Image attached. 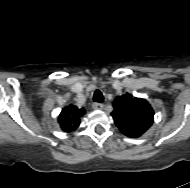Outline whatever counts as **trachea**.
<instances>
[{
    "label": "trachea",
    "mask_w": 190,
    "mask_h": 188,
    "mask_svg": "<svg viewBox=\"0 0 190 188\" xmlns=\"http://www.w3.org/2000/svg\"><path fill=\"white\" fill-rule=\"evenodd\" d=\"M93 100L98 103H102L104 101L103 94L100 90H96L93 95Z\"/></svg>",
    "instance_id": "obj_1"
}]
</instances>
